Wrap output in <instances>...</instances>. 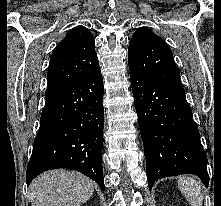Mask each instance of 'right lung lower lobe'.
I'll return each mask as SVG.
<instances>
[{"instance_id":"obj_1","label":"right lung lower lobe","mask_w":221,"mask_h":206,"mask_svg":"<svg viewBox=\"0 0 221 206\" xmlns=\"http://www.w3.org/2000/svg\"><path fill=\"white\" fill-rule=\"evenodd\" d=\"M103 93L98 67L45 94L40 128L26 172L27 186L44 171L68 168L88 176L104 190Z\"/></svg>"}]
</instances>
